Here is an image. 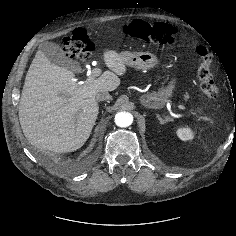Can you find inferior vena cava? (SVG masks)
Returning a JSON list of instances; mask_svg holds the SVG:
<instances>
[{"label":"inferior vena cava","mask_w":236,"mask_h":236,"mask_svg":"<svg viewBox=\"0 0 236 236\" xmlns=\"http://www.w3.org/2000/svg\"><path fill=\"white\" fill-rule=\"evenodd\" d=\"M110 99H111V96L106 91H101V92L97 93V95H96V100L98 102L105 101V100H110Z\"/></svg>","instance_id":"1"}]
</instances>
